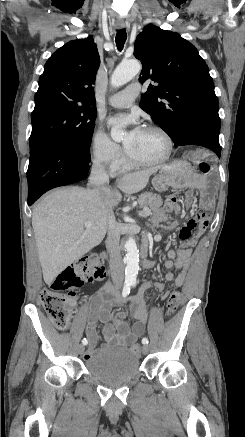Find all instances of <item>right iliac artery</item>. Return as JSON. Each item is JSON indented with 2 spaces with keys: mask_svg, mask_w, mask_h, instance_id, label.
<instances>
[{
  "mask_svg": "<svg viewBox=\"0 0 245 437\" xmlns=\"http://www.w3.org/2000/svg\"><path fill=\"white\" fill-rule=\"evenodd\" d=\"M130 288H131V284H130V283H125V284H124L123 291H122V296H123V298H126V297L129 295V293H130ZM82 344H83V345H87V344H88V340H87L86 338H84V339L82 340Z\"/></svg>",
  "mask_w": 245,
  "mask_h": 437,
  "instance_id": "right-iliac-artery-1",
  "label": "right iliac artery"
}]
</instances>
